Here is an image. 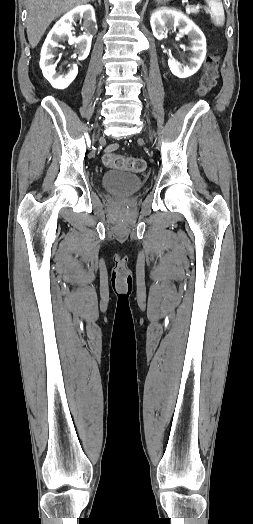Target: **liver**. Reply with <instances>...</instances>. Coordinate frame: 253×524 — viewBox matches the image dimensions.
<instances>
[{
	"instance_id": "obj_1",
	"label": "liver",
	"mask_w": 253,
	"mask_h": 524,
	"mask_svg": "<svg viewBox=\"0 0 253 524\" xmlns=\"http://www.w3.org/2000/svg\"><path fill=\"white\" fill-rule=\"evenodd\" d=\"M93 0H27V36L32 48L36 47L49 24L73 7Z\"/></svg>"
}]
</instances>
